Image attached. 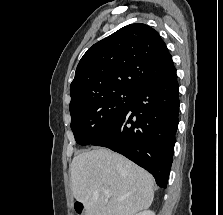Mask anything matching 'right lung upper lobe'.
I'll return each instance as SVG.
<instances>
[{
    "label": "right lung upper lobe",
    "mask_w": 223,
    "mask_h": 215,
    "mask_svg": "<svg viewBox=\"0 0 223 215\" xmlns=\"http://www.w3.org/2000/svg\"><path fill=\"white\" fill-rule=\"evenodd\" d=\"M175 73L158 32L142 23L127 25L83 55L70 86L69 110L118 90L136 93Z\"/></svg>",
    "instance_id": "1"
}]
</instances>
